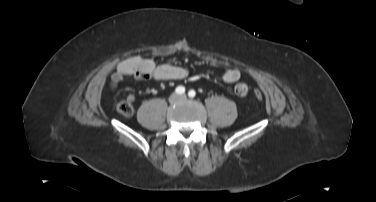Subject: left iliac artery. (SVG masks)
<instances>
[{"label":"left iliac artery","instance_id":"1","mask_svg":"<svg viewBox=\"0 0 376 202\" xmlns=\"http://www.w3.org/2000/svg\"><path fill=\"white\" fill-rule=\"evenodd\" d=\"M188 95H189V97L193 98V97H195L196 92H195L194 90H190V91L188 92Z\"/></svg>","mask_w":376,"mask_h":202}]
</instances>
